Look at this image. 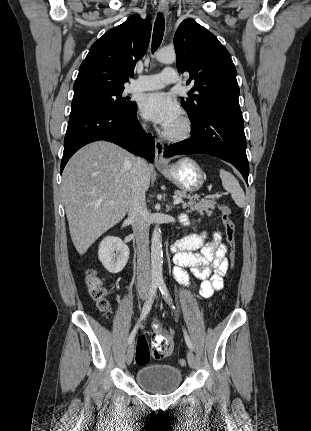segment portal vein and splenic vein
<instances>
[{"mask_svg":"<svg viewBox=\"0 0 311 431\" xmlns=\"http://www.w3.org/2000/svg\"><path fill=\"white\" fill-rule=\"evenodd\" d=\"M183 202V198H177V200H174L173 204H181ZM109 206H114V202H109Z\"/></svg>","mask_w":311,"mask_h":431,"instance_id":"portal-vein-and-splenic-vein-1","label":"portal vein and splenic vein"}]
</instances>
